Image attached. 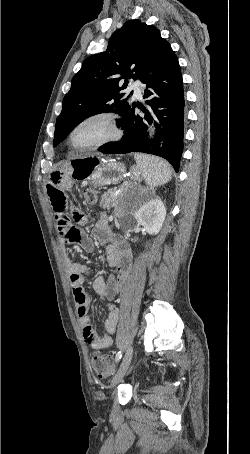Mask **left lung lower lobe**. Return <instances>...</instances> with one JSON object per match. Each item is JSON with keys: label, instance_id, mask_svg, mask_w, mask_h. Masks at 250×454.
<instances>
[{"label": "left lung lower lobe", "instance_id": "0a47b994", "mask_svg": "<svg viewBox=\"0 0 250 454\" xmlns=\"http://www.w3.org/2000/svg\"><path fill=\"white\" fill-rule=\"evenodd\" d=\"M141 82L146 85L143 98H149V105L155 115V138H147V125L153 118L143 106H138L144 118L136 114L133 103L119 124L125 135L120 141L102 145L98 150L105 154L143 152L161 156L169 161L175 171L183 152L184 135V91L181 68L178 59L171 51L166 59Z\"/></svg>", "mask_w": 250, "mask_h": 454}]
</instances>
